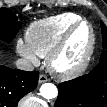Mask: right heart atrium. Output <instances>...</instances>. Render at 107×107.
Returning <instances> with one entry per match:
<instances>
[{"label":"right heart atrium","instance_id":"1","mask_svg":"<svg viewBox=\"0 0 107 107\" xmlns=\"http://www.w3.org/2000/svg\"><path fill=\"white\" fill-rule=\"evenodd\" d=\"M16 50L23 58H25L29 62L34 63V64L38 63V61H39L38 55L30 47V45L27 43V41L18 39L16 42Z\"/></svg>","mask_w":107,"mask_h":107}]
</instances>
